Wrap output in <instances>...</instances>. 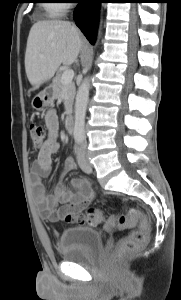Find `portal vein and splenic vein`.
Listing matches in <instances>:
<instances>
[{
    "instance_id": "18ae733b",
    "label": "portal vein and splenic vein",
    "mask_w": 181,
    "mask_h": 300,
    "mask_svg": "<svg viewBox=\"0 0 181 300\" xmlns=\"http://www.w3.org/2000/svg\"><path fill=\"white\" fill-rule=\"evenodd\" d=\"M74 77V71L73 70H66L63 72L61 76V81L63 84H69L72 82Z\"/></svg>"
}]
</instances>
